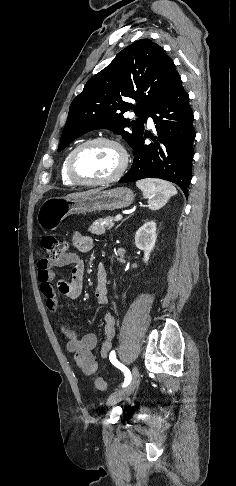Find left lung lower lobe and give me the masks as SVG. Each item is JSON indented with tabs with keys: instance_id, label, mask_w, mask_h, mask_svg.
I'll return each instance as SVG.
<instances>
[{
	"instance_id": "obj_1",
	"label": "left lung lower lobe",
	"mask_w": 236,
	"mask_h": 486,
	"mask_svg": "<svg viewBox=\"0 0 236 486\" xmlns=\"http://www.w3.org/2000/svg\"><path fill=\"white\" fill-rule=\"evenodd\" d=\"M156 124L154 143L144 144V136L133 147L134 162L119 182L160 178L177 184L185 196L192 178L193 111L189 95L178 77L150 106L147 117ZM146 117V118H147ZM145 137L146 136L145 134Z\"/></svg>"
}]
</instances>
